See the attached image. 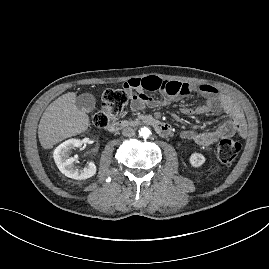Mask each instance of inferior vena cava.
Instances as JSON below:
<instances>
[{
	"label": "inferior vena cava",
	"instance_id": "inferior-vena-cava-1",
	"mask_svg": "<svg viewBox=\"0 0 269 269\" xmlns=\"http://www.w3.org/2000/svg\"><path fill=\"white\" fill-rule=\"evenodd\" d=\"M122 135L125 137H132L135 135V130L131 127H126L122 130Z\"/></svg>",
	"mask_w": 269,
	"mask_h": 269
}]
</instances>
